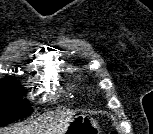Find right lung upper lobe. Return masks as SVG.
Returning <instances> with one entry per match:
<instances>
[{
	"label": "right lung upper lobe",
	"mask_w": 153,
	"mask_h": 134,
	"mask_svg": "<svg viewBox=\"0 0 153 134\" xmlns=\"http://www.w3.org/2000/svg\"><path fill=\"white\" fill-rule=\"evenodd\" d=\"M4 80H11V78H7V79H4Z\"/></svg>",
	"instance_id": "cb5924a9"
}]
</instances>
